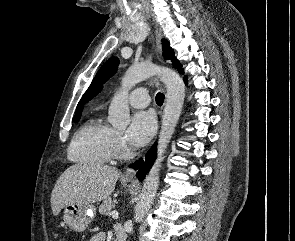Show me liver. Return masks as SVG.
Here are the masks:
<instances>
[{
  "label": "liver",
  "mask_w": 295,
  "mask_h": 241,
  "mask_svg": "<svg viewBox=\"0 0 295 241\" xmlns=\"http://www.w3.org/2000/svg\"><path fill=\"white\" fill-rule=\"evenodd\" d=\"M120 176L117 168L102 164H75L57 180L51 194L54 216L70 204H92L107 199Z\"/></svg>",
  "instance_id": "6515ba94"
}]
</instances>
